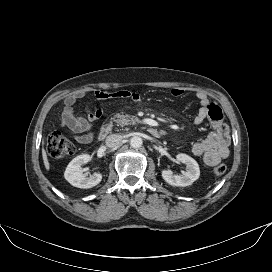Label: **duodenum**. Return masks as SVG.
Here are the masks:
<instances>
[{
    "instance_id": "duodenum-1",
    "label": "duodenum",
    "mask_w": 272,
    "mask_h": 272,
    "mask_svg": "<svg viewBox=\"0 0 272 272\" xmlns=\"http://www.w3.org/2000/svg\"><path fill=\"white\" fill-rule=\"evenodd\" d=\"M112 130V125L111 124H105L101 129L100 132L98 134V138L100 140L104 139ZM148 133L155 137V138H159L161 137V133L158 129L154 128V127H148L147 128Z\"/></svg>"
}]
</instances>
